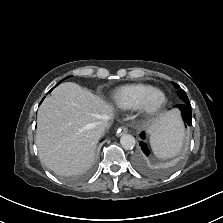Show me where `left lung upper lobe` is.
Wrapping results in <instances>:
<instances>
[{
  "mask_svg": "<svg viewBox=\"0 0 223 223\" xmlns=\"http://www.w3.org/2000/svg\"><path fill=\"white\" fill-rule=\"evenodd\" d=\"M173 85H174V87H175L176 89H179V85H178V84H176V83L173 82ZM177 94H178L179 98H180L184 103H189V99H188V97H187V95H186V93H185L184 90L179 89V90L177 91Z\"/></svg>",
  "mask_w": 223,
  "mask_h": 223,
  "instance_id": "left-lung-upper-lobe-1",
  "label": "left lung upper lobe"
}]
</instances>
